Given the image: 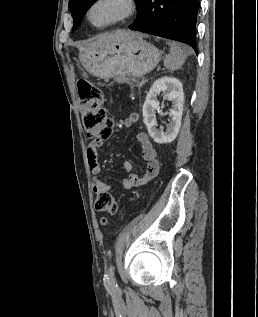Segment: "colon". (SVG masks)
I'll list each match as a JSON object with an SVG mask.
<instances>
[{
    "label": "colon",
    "mask_w": 258,
    "mask_h": 317,
    "mask_svg": "<svg viewBox=\"0 0 258 317\" xmlns=\"http://www.w3.org/2000/svg\"><path fill=\"white\" fill-rule=\"evenodd\" d=\"M77 88L82 124L87 135L101 140L109 138L113 132V121L103 107L102 93L85 79L78 81ZM95 209L109 216L120 215L114 198L108 192L96 195ZM106 222V218L101 220L103 225Z\"/></svg>",
    "instance_id": "obj_1"
}]
</instances>
